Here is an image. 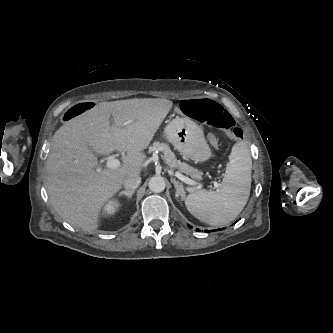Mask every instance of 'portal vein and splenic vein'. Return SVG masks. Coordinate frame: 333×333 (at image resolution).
Listing matches in <instances>:
<instances>
[{"label": "portal vein and splenic vein", "mask_w": 333, "mask_h": 333, "mask_svg": "<svg viewBox=\"0 0 333 333\" xmlns=\"http://www.w3.org/2000/svg\"><path fill=\"white\" fill-rule=\"evenodd\" d=\"M127 123H128V122H126L125 124H127ZM106 166H107L108 168H111V169L118 168V167H120V161H119L118 159H116V158L110 157V158L107 160V164H106ZM175 176H176L179 180L183 181L184 183H186V184H188V185H196V184H197V182H195L194 180H192V179L186 177L185 175L181 174V173L178 172V171L175 172ZM218 186H219V184L215 182V183H214V187L217 188Z\"/></svg>", "instance_id": "18ae733b"}]
</instances>
